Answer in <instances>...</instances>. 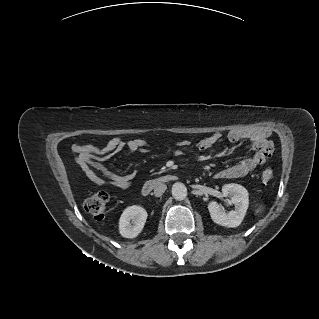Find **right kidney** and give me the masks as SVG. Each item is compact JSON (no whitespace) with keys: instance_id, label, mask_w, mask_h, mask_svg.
Masks as SVG:
<instances>
[{"instance_id":"obj_1","label":"right kidney","mask_w":319,"mask_h":319,"mask_svg":"<svg viewBox=\"0 0 319 319\" xmlns=\"http://www.w3.org/2000/svg\"><path fill=\"white\" fill-rule=\"evenodd\" d=\"M146 210L138 205L127 207L119 220V233L125 238H135L141 233L147 219Z\"/></svg>"}]
</instances>
